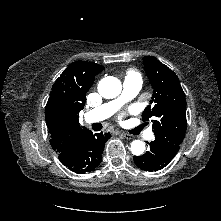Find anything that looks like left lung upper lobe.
Returning <instances> with one entry per match:
<instances>
[{"instance_id": "left-lung-upper-lobe-1", "label": "left lung upper lobe", "mask_w": 221, "mask_h": 221, "mask_svg": "<svg viewBox=\"0 0 221 221\" xmlns=\"http://www.w3.org/2000/svg\"><path fill=\"white\" fill-rule=\"evenodd\" d=\"M143 64L154 91L142 119H151L155 139L180 145L186 130V99L179 79L153 56H145Z\"/></svg>"}]
</instances>
